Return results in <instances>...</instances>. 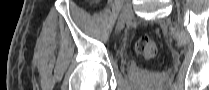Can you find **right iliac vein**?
<instances>
[{
	"label": "right iliac vein",
	"mask_w": 209,
	"mask_h": 90,
	"mask_svg": "<svg viewBox=\"0 0 209 90\" xmlns=\"http://www.w3.org/2000/svg\"><path fill=\"white\" fill-rule=\"evenodd\" d=\"M130 15H131V4L129 2H126L122 9L121 15L118 19V23H117L118 31L122 28L125 21L130 17Z\"/></svg>",
	"instance_id": "1"
}]
</instances>
